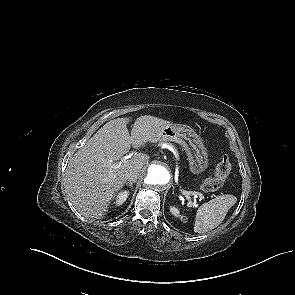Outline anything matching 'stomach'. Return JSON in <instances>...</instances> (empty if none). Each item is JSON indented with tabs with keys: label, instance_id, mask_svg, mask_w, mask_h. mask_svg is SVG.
Masks as SVG:
<instances>
[{
	"label": "stomach",
	"instance_id": "obj_1",
	"mask_svg": "<svg viewBox=\"0 0 295 295\" xmlns=\"http://www.w3.org/2000/svg\"><path fill=\"white\" fill-rule=\"evenodd\" d=\"M151 142L172 141L180 144L188 157L193 174H200L208 167V154L194 130L184 124L165 125L153 131Z\"/></svg>",
	"mask_w": 295,
	"mask_h": 295
}]
</instances>
